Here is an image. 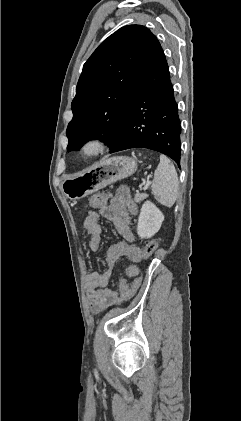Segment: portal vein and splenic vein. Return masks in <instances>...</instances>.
Returning a JSON list of instances; mask_svg holds the SVG:
<instances>
[{"label":"portal vein and splenic vein","mask_w":241,"mask_h":421,"mask_svg":"<svg viewBox=\"0 0 241 421\" xmlns=\"http://www.w3.org/2000/svg\"><path fill=\"white\" fill-rule=\"evenodd\" d=\"M149 185H150V180H147V182H146V184L144 186V190L148 189Z\"/></svg>","instance_id":"portal-vein-and-splenic-vein-1"}]
</instances>
